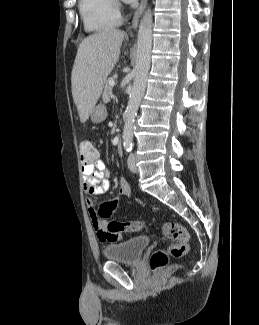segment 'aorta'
I'll return each instance as SVG.
<instances>
[{"label":"aorta","instance_id":"obj_1","mask_svg":"<svg viewBox=\"0 0 259 325\" xmlns=\"http://www.w3.org/2000/svg\"><path fill=\"white\" fill-rule=\"evenodd\" d=\"M153 18L151 9L148 8L139 25L136 48V64L134 68V82L125 111L123 140L127 148L132 145L135 118L142 97L145 93L148 72L151 63Z\"/></svg>","mask_w":259,"mask_h":325}]
</instances>
